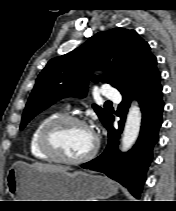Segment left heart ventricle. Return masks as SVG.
Segmentation results:
<instances>
[{
	"label": "left heart ventricle",
	"mask_w": 176,
	"mask_h": 211,
	"mask_svg": "<svg viewBox=\"0 0 176 211\" xmlns=\"http://www.w3.org/2000/svg\"><path fill=\"white\" fill-rule=\"evenodd\" d=\"M54 141L65 157L78 158L91 150L94 144V135L81 125L65 124L55 132Z\"/></svg>",
	"instance_id": "left-heart-ventricle-1"
}]
</instances>
